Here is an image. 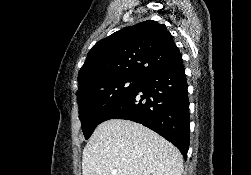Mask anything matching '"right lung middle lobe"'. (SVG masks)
<instances>
[{
	"label": "right lung middle lobe",
	"instance_id": "1",
	"mask_svg": "<svg viewBox=\"0 0 251 175\" xmlns=\"http://www.w3.org/2000/svg\"><path fill=\"white\" fill-rule=\"evenodd\" d=\"M140 78L122 76L103 84L84 86L77 91L79 118L85 139H88L102 116L126 97Z\"/></svg>",
	"mask_w": 251,
	"mask_h": 175
}]
</instances>
